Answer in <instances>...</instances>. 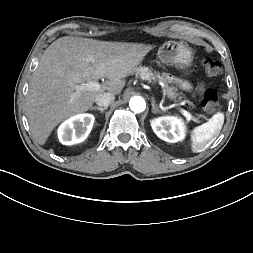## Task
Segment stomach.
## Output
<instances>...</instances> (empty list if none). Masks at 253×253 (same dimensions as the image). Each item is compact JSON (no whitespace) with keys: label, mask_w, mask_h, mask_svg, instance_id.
Instances as JSON below:
<instances>
[{"label":"stomach","mask_w":253,"mask_h":253,"mask_svg":"<svg viewBox=\"0 0 253 253\" xmlns=\"http://www.w3.org/2000/svg\"><path fill=\"white\" fill-rule=\"evenodd\" d=\"M158 57L163 64L188 68L193 61V52L183 42L168 41L160 46Z\"/></svg>","instance_id":"0dacf381"}]
</instances>
